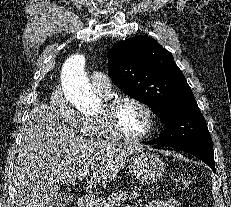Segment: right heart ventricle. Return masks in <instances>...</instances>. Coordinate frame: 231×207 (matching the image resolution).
I'll list each match as a JSON object with an SVG mask.
<instances>
[{
  "instance_id": "right-heart-ventricle-1",
  "label": "right heart ventricle",
  "mask_w": 231,
  "mask_h": 207,
  "mask_svg": "<svg viewBox=\"0 0 231 207\" xmlns=\"http://www.w3.org/2000/svg\"><path fill=\"white\" fill-rule=\"evenodd\" d=\"M101 97H103L105 100L109 99L110 94L104 93V92H98L96 91ZM81 133L84 137L89 139H108L110 136L105 131L102 121L98 116H92V117H83L82 119V127H81Z\"/></svg>"
}]
</instances>
